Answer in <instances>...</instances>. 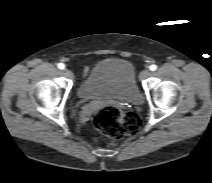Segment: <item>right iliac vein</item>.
I'll return each mask as SVG.
<instances>
[{
    "mask_svg": "<svg viewBox=\"0 0 212 183\" xmlns=\"http://www.w3.org/2000/svg\"><path fill=\"white\" fill-rule=\"evenodd\" d=\"M64 74H65L66 76H68L69 78H73V73H72V71H70L69 69H65V70H64Z\"/></svg>",
    "mask_w": 212,
    "mask_h": 183,
    "instance_id": "right-iliac-vein-1",
    "label": "right iliac vein"
}]
</instances>
